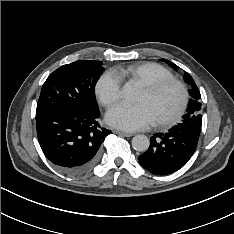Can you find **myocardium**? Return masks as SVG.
<instances>
[{"mask_svg": "<svg viewBox=\"0 0 234 234\" xmlns=\"http://www.w3.org/2000/svg\"><path fill=\"white\" fill-rule=\"evenodd\" d=\"M170 86H175L180 90L181 93V101L180 104L178 106V108L175 110V112L170 115L169 117L159 120V121H155L153 124L156 127L159 128H167L170 127L172 125H174L184 114L188 102H189V93H188V89L187 87L184 85V83H182L181 81L172 78V79H164V80H160L154 83H151L149 85H144L142 86V90L143 92L148 95V96H153L155 94H157L158 92H160L161 90L170 87Z\"/></svg>", "mask_w": 234, "mask_h": 234, "instance_id": "myocardium-1", "label": "myocardium"}]
</instances>
